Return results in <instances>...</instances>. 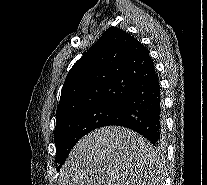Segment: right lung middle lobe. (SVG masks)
I'll return each mask as SVG.
<instances>
[{
	"label": "right lung middle lobe",
	"instance_id": "right-lung-middle-lobe-1",
	"mask_svg": "<svg viewBox=\"0 0 207 185\" xmlns=\"http://www.w3.org/2000/svg\"><path fill=\"white\" fill-rule=\"evenodd\" d=\"M120 107L118 104H103L57 122L54 132L57 169L60 170L71 149L83 136L115 119Z\"/></svg>",
	"mask_w": 207,
	"mask_h": 185
}]
</instances>
